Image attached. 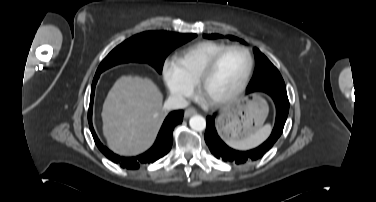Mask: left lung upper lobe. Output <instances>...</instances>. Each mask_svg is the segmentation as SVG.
Returning <instances> with one entry per match:
<instances>
[{
	"mask_svg": "<svg viewBox=\"0 0 376 202\" xmlns=\"http://www.w3.org/2000/svg\"><path fill=\"white\" fill-rule=\"evenodd\" d=\"M207 39H219V34H204ZM232 40H238L234 36H229ZM242 42V41H241ZM256 58V68L252 80L247 87V93L254 91L277 90L286 93L285 83L277 68L262 54L257 48H254Z\"/></svg>",
	"mask_w": 376,
	"mask_h": 202,
	"instance_id": "obj_1",
	"label": "left lung upper lobe"
}]
</instances>
